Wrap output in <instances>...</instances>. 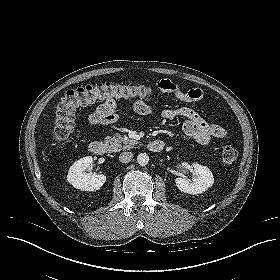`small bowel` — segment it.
<instances>
[{"mask_svg":"<svg viewBox=\"0 0 280 280\" xmlns=\"http://www.w3.org/2000/svg\"><path fill=\"white\" fill-rule=\"evenodd\" d=\"M156 88L161 93H169L175 98L186 103H195L200 101L203 96V90L192 88L182 89L179 85L170 80H160L156 83ZM133 110L140 115H149L153 113V107L147 102L136 99L133 102ZM165 120L172 121L183 119L184 133L200 145H207L212 139L224 138L227 136V130L211 119L200 116L189 107L177 109H165L162 112ZM120 118L117 103L113 99H106L89 117L92 124H112Z\"/></svg>","mask_w":280,"mask_h":280,"instance_id":"c3829d8e","label":"small bowel"}]
</instances>
